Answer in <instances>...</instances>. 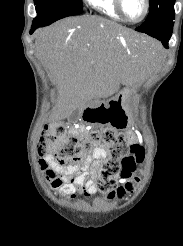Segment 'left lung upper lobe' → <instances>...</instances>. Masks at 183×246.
<instances>
[{"label":"left lung upper lobe","instance_id":"left-lung-upper-lobe-1","mask_svg":"<svg viewBox=\"0 0 183 246\" xmlns=\"http://www.w3.org/2000/svg\"><path fill=\"white\" fill-rule=\"evenodd\" d=\"M150 12L143 24L136 28L139 32H151L174 24L175 0H149Z\"/></svg>","mask_w":183,"mask_h":246}]
</instances>
